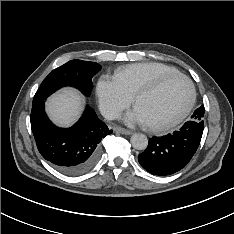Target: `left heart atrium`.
Instances as JSON below:
<instances>
[{
    "label": "left heart atrium",
    "instance_id": "left-heart-atrium-1",
    "mask_svg": "<svg viewBox=\"0 0 234 234\" xmlns=\"http://www.w3.org/2000/svg\"><path fill=\"white\" fill-rule=\"evenodd\" d=\"M125 120L130 124H148L146 118L137 107L126 114Z\"/></svg>",
    "mask_w": 234,
    "mask_h": 234
}]
</instances>
